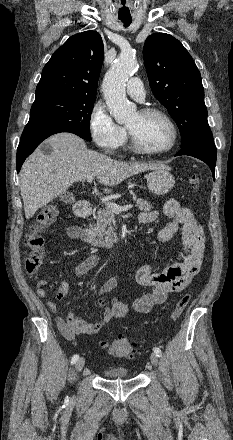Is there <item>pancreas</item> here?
I'll return each instance as SVG.
<instances>
[{"mask_svg":"<svg viewBox=\"0 0 233 440\" xmlns=\"http://www.w3.org/2000/svg\"><path fill=\"white\" fill-rule=\"evenodd\" d=\"M136 207L140 211H150L153 209V206L146 200L138 198L136 200ZM97 223L94 224L93 228L95 230V234L99 240L103 242H112L117 240L116 234V219L115 212L108 208H101L97 212Z\"/></svg>","mask_w":233,"mask_h":440,"instance_id":"obj_1","label":"pancreas"}]
</instances>
